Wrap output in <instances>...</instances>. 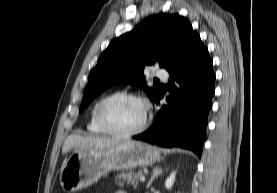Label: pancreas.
Wrapping results in <instances>:
<instances>
[{"mask_svg":"<svg viewBox=\"0 0 277 193\" xmlns=\"http://www.w3.org/2000/svg\"><path fill=\"white\" fill-rule=\"evenodd\" d=\"M143 176L142 171H138V172H123L121 174H118L115 177V182L119 185V186H123L124 183H128V184H132L133 186H137L138 185V179Z\"/></svg>","mask_w":277,"mask_h":193,"instance_id":"obj_1","label":"pancreas"}]
</instances>
